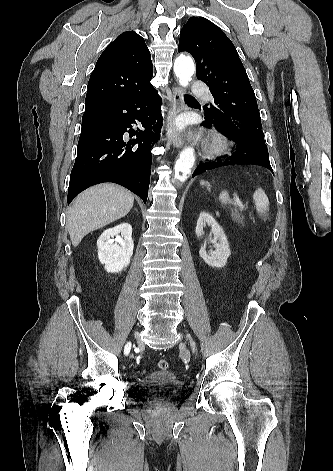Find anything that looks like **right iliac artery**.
Here are the masks:
<instances>
[{
	"mask_svg": "<svg viewBox=\"0 0 333 471\" xmlns=\"http://www.w3.org/2000/svg\"><path fill=\"white\" fill-rule=\"evenodd\" d=\"M130 349H131V343L129 342V343L126 344V346H125V348H124V353H125V355H128V354H129Z\"/></svg>",
	"mask_w": 333,
	"mask_h": 471,
	"instance_id": "right-iliac-artery-1",
	"label": "right iliac artery"
}]
</instances>
